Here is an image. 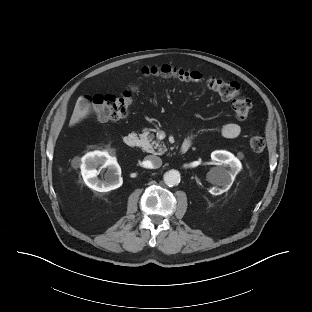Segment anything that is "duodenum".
<instances>
[{
	"label": "duodenum",
	"instance_id": "obj_1",
	"mask_svg": "<svg viewBox=\"0 0 312 312\" xmlns=\"http://www.w3.org/2000/svg\"><path fill=\"white\" fill-rule=\"evenodd\" d=\"M123 142L125 146L129 148H133L137 146L139 142V138L135 133H129L124 137ZM190 147H191V142L184 141L179 147L180 154H185L190 149Z\"/></svg>",
	"mask_w": 312,
	"mask_h": 312
}]
</instances>
